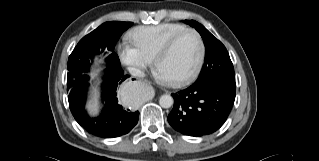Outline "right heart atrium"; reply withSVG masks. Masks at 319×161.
<instances>
[{
  "instance_id": "right-heart-atrium-1",
  "label": "right heart atrium",
  "mask_w": 319,
  "mask_h": 161,
  "mask_svg": "<svg viewBox=\"0 0 319 161\" xmlns=\"http://www.w3.org/2000/svg\"><path fill=\"white\" fill-rule=\"evenodd\" d=\"M119 54L123 63L128 66L144 69L150 65V61L145 58L134 45H121L119 47Z\"/></svg>"
}]
</instances>
